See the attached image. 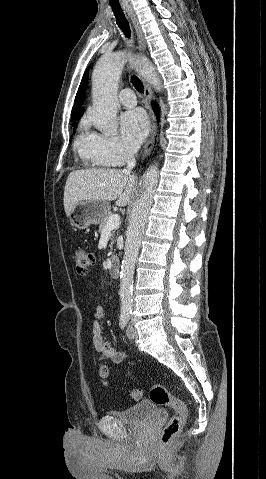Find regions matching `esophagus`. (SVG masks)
<instances>
[{
    "label": "esophagus",
    "mask_w": 266,
    "mask_h": 479,
    "mask_svg": "<svg viewBox=\"0 0 266 479\" xmlns=\"http://www.w3.org/2000/svg\"><path fill=\"white\" fill-rule=\"evenodd\" d=\"M127 12H128L129 17L131 18V21H132L133 26H134L135 31H136L138 49H139L140 52H145V50H146V40H145V37H144V32H143V30H142V28H141V26L138 22V19H137L136 15L134 14V12L132 10H128ZM143 85H144L145 99L150 104V102L152 100L151 86L149 85V83L144 78H143ZM149 122H150V133H149V137H148V139L145 143L144 149H143L142 159H144L150 153V151L153 147L156 132H157L156 117H155L154 112L151 108H150V111H149Z\"/></svg>",
    "instance_id": "esophagus-1"
}]
</instances>
